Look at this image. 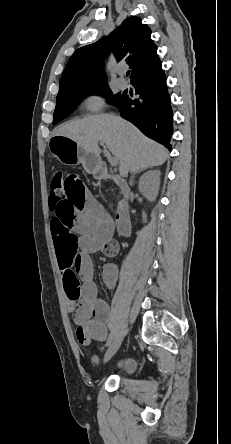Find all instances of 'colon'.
<instances>
[{
    "instance_id": "1",
    "label": "colon",
    "mask_w": 231,
    "mask_h": 444,
    "mask_svg": "<svg viewBox=\"0 0 231 444\" xmlns=\"http://www.w3.org/2000/svg\"><path fill=\"white\" fill-rule=\"evenodd\" d=\"M64 173L61 170H56L53 173L51 181V197L60 200L66 195Z\"/></svg>"
}]
</instances>
